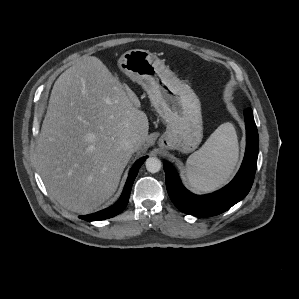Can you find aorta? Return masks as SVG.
<instances>
[{
  "label": "aorta",
  "instance_id": "1",
  "mask_svg": "<svg viewBox=\"0 0 299 299\" xmlns=\"http://www.w3.org/2000/svg\"><path fill=\"white\" fill-rule=\"evenodd\" d=\"M146 169L150 173H157L161 169V161L157 157H149L146 162Z\"/></svg>",
  "mask_w": 299,
  "mask_h": 299
}]
</instances>
